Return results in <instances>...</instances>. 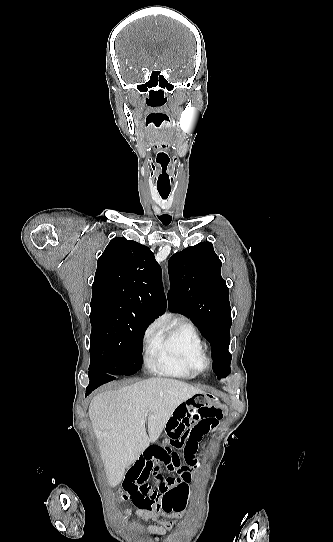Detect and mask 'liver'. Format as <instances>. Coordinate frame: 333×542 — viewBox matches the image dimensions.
<instances>
[{"mask_svg": "<svg viewBox=\"0 0 333 542\" xmlns=\"http://www.w3.org/2000/svg\"><path fill=\"white\" fill-rule=\"evenodd\" d=\"M195 394L204 392L170 376H157L94 396L88 414L111 488L122 482L125 470L150 442L158 440L177 406Z\"/></svg>", "mask_w": 333, "mask_h": 542, "instance_id": "6515ba94", "label": "liver"}]
</instances>
